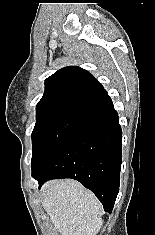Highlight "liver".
<instances>
[{"instance_id":"1","label":"liver","mask_w":155,"mask_h":235,"mask_svg":"<svg viewBox=\"0 0 155 235\" xmlns=\"http://www.w3.org/2000/svg\"><path fill=\"white\" fill-rule=\"evenodd\" d=\"M42 206L61 235H97L102 206L75 180H52L42 187Z\"/></svg>"}]
</instances>
